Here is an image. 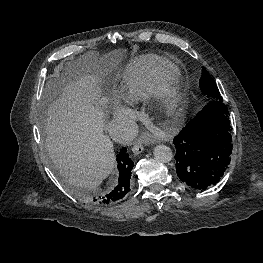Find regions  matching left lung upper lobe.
<instances>
[{"instance_id":"obj_1","label":"left lung upper lobe","mask_w":263,"mask_h":263,"mask_svg":"<svg viewBox=\"0 0 263 263\" xmlns=\"http://www.w3.org/2000/svg\"><path fill=\"white\" fill-rule=\"evenodd\" d=\"M201 92L213 99L223 100L214 80L205 68H202V76L199 81Z\"/></svg>"}]
</instances>
